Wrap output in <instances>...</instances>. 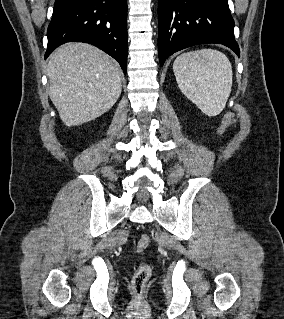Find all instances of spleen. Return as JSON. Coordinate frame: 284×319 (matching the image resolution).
I'll return each mask as SVG.
<instances>
[{"mask_svg":"<svg viewBox=\"0 0 284 319\" xmlns=\"http://www.w3.org/2000/svg\"><path fill=\"white\" fill-rule=\"evenodd\" d=\"M173 71L182 93L208 116L222 112L232 87V66L226 55L213 49L178 56Z\"/></svg>","mask_w":284,"mask_h":319,"instance_id":"1","label":"spleen"}]
</instances>
